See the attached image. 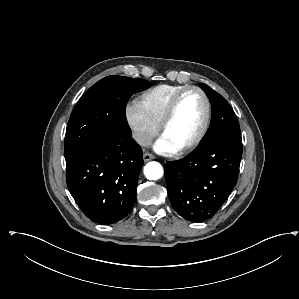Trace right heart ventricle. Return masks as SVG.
<instances>
[{
  "mask_svg": "<svg viewBox=\"0 0 299 299\" xmlns=\"http://www.w3.org/2000/svg\"><path fill=\"white\" fill-rule=\"evenodd\" d=\"M186 85L162 84L145 91L137 103L147 117L159 126L173 97Z\"/></svg>",
  "mask_w": 299,
  "mask_h": 299,
  "instance_id": "1",
  "label": "right heart ventricle"
}]
</instances>
